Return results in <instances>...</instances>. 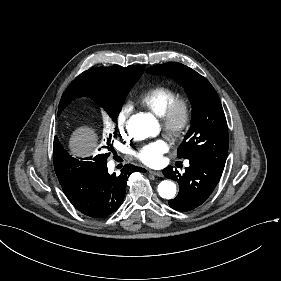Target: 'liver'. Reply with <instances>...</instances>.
Returning a JSON list of instances; mask_svg holds the SVG:
<instances>
[{"instance_id":"1","label":"liver","mask_w":281,"mask_h":281,"mask_svg":"<svg viewBox=\"0 0 281 281\" xmlns=\"http://www.w3.org/2000/svg\"><path fill=\"white\" fill-rule=\"evenodd\" d=\"M100 137L97 129L83 124L77 126L70 134L68 141L69 154L75 158H87L99 148Z\"/></svg>"}]
</instances>
